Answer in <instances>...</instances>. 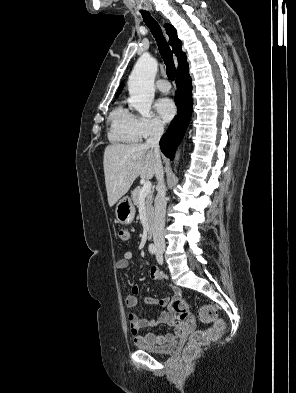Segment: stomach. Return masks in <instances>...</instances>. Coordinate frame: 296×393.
Masks as SVG:
<instances>
[{"instance_id":"0dacf381","label":"stomach","mask_w":296,"mask_h":393,"mask_svg":"<svg viewBox=\"0 0 296 393\" xmlns=\"http://www.w3.org/2000/svg\"><path fill=\"white\" fill-rule=\"evenodd\" d=\"M135 212V207L129 197H123L116 205V219L122 224H130L134 220Z\"/></svg>"}]
</instances>
